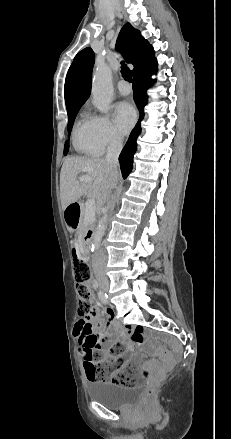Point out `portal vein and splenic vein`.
<instances>
[{
    "instance_id": "1",
    "label": "portal vein and splenic vein",
    "mask_w": 231,
    "mask_h": 439,
    "mask_svg": "<svg viewBox=\"0 0 231 439\" xmlns=\"http://www.w3.org/2000/svg\"><path fill=\"white\" fill-rule=\"evenodd\" d=\"M80 182H88L91 181V178L87 176H82L79 178ZM95 214V199L90 198L86 201V215L87 218L93 216Z\"/></svg>"
}]
</instances>
